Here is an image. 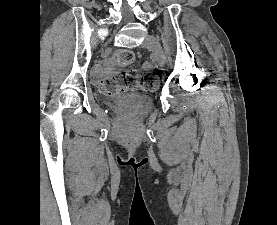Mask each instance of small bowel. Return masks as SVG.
Here are the masks:
<instances>
[{
	"mask_svg": "<svg viewBox=\"0 0 277 225\" xmlns=\"http://www.w3.org/2000/svg\"><path fill=\"white\" fill-rule=\"evenodd\" d=\"M146 67H148V65ZM97 77H98L99 83H100L107 76H106V74L104 73V71L102 69H98Z\"/></svg>",
	"mask_w": 277,
	"mask_h": 225,
	"instance_id": "c3829d8e",
	"label": "small bowel"
}]
</instances>
